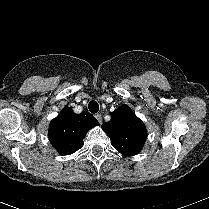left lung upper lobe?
Segmentation results:
<instances>
[{"instance_id": "5c2ea615", "label": "left lung upper lobe", "mask_w": 209, "mask_h": 209, "mask_svg": "<svg viewBox=\"0 0 209 209\" xmlns=\"http://www.w3.org/2000/svg\"><path fill=\"white\" fill-rule=\"evenodd\" d=\"M112 146L126 156L138 154L147 138L146 127L127 105H121L111 114V120L102 124Z\"/></svg>"}]
</instances>
